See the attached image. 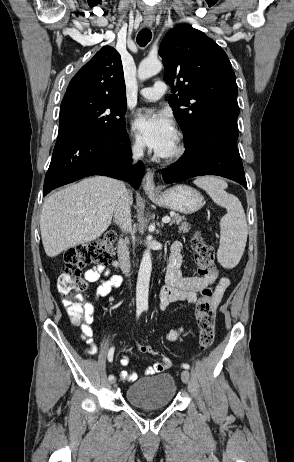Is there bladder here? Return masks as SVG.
<instances>
[{"label": "bladder", "mask_w": 294, "mask_h": 462, "mask_svg": "<svg viewBox=\"0 0 294 462\" xmlns=\"http://www.w3.org/2000/svg\"><path fill=\"white\" fill-rule=\"evenodd\" d=\"M176 393L174 377L169 373H160L130 385L125 392V398L139 408L159 409L169 406Z\"/></svg>", "instance_id": "1"}]
</instances>
